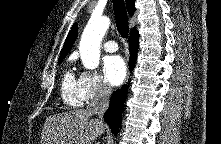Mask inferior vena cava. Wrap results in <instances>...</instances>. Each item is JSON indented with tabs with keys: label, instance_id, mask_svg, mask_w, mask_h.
Here are the masks:
<instances>
[{
	"label": "inferior vena cava",
	"instance_id": "inferior-vena-cava-1",
	"mask_svg": "<svg viewBox=\"0 0 221 144\" xmlns=\"http://www.w3.org/2000/svg\"><path fill=\"white\" fill-rule=\"evenodd\" d=\"M110 95L111 87L108 84L103 83L98 87L94 98L91 99L87 106L88 112L92 115H98L99 121H102L103 114L109 106Z\"/></svg>",
	"mask_w": 221,
	"mask_h": 144
}]
</instances>
